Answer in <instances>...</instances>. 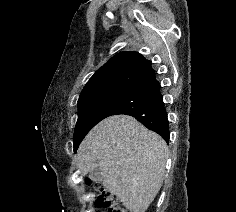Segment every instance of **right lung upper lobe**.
Segmentation results:
<instances>
[{"label": "right lung upper lobe", "instance_id": "right-lung-upper-lobe-1", "mask_svg": "<svg viewBox=\"0 0 236 212\" xmlns=\"http://www.w3.org/2000/svg\"><path fill=\"white\" fill-rule=\"evenodd\" d=\"M152 72L151 62L138 52H120L95 72L79 100L117 90H132Z\"/></svg>", "mask_w": 236, "mask_h": 212}]
</instances>
